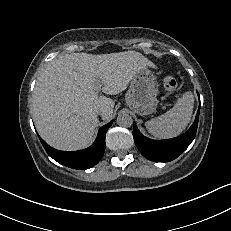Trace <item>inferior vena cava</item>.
Listing matches in <instances>:
<instances>
[{
    "instance_id": "obj_1",
    "label": "inferior vena cava",
    "mask_w": 231,
    "mask_h": 231,
    "mask_svg": "<svg viewBox=\"0 0 231 231\" xmlns=\"http://www.w3.org/2000/svg\"><path fill=\"white\" fill-rule=\"evenodd\" d=\"M97 115H101L103 113V109L97 110Z\"/></svg>"
}]
</instances>
